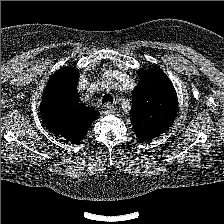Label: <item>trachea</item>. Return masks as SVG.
<instances>
[{
	"mask_svg": "<svg viewBox=\"0 0 224 224\" xmlns=\"http://www.w3.org/2000/svg\"><path fill=\"white\" fill-rule=\"evenodd\" d=\"M112 103L113 102V97L110 94L104 95L103 99H102V104L104 103Z\"/></svg>",
	"mask_w": 224,
	"mask_h": 224,
	"instance_id": "obj_1",
	"label": "trachea"
}]
</instances>
